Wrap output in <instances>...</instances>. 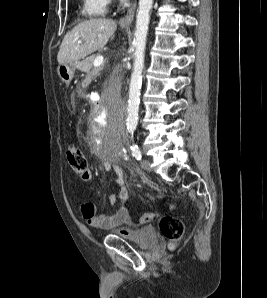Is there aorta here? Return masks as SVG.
Segmentation results:
<instances>
[{
    "mask_svg": "<svg viewBox=\"0 0 267 298\" xmlns=\"http://www.w3.org/2000/svg\"><path fill=\"white\" fill-rule=\"evenodd\" d=\"M152 5L153 0H139L138 14L136 17V29L134 34L135 37L133 42L135 47L133 72L131 74L127 107L128 116L126 125L130 132H133L136 129L138 123L144 52L146 48Z\"/></svg>",
    "mask_w": 267,
    "mask_h": 298,
    "instance_id": "1",
    "label": "aorta"
}]
</instances>
